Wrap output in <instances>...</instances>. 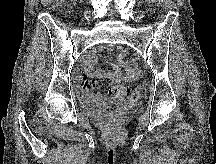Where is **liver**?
Segmentation results:
<instances>
[{
    "instance_id": "obj_1",
    "label": "liver",
    "mask_w": 216,
    "mask_h": 164,
    "mask_svg": "<svg viewBox=\"0 0 216 164\" xmlns=\"http://www.w3.org/2000/svg\"><path fill=\"white\" fill-rule=\"evenodd\" d=\"M54 0H41V4L46 7L50 5Z\"/></svg>"
}]
</instances>
